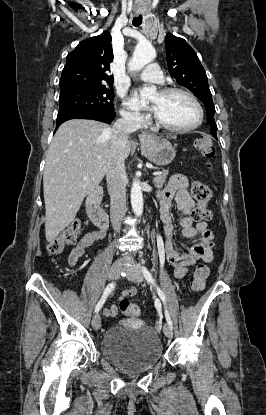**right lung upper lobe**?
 Segmentation results:
<instances>
[{
    "instance_id": "cb5924a9",
    "label": "right lung upper lobe",
    "mask_w": 266,
    "mask_h": 415,
    "mask_svg": "<svg viewBox=\"0 0 266 415\" xmlns=\"http://www.w3.org/2000/svg\"><path fill=\"white\" fill-rule=\"evenodd\" d=\"M113 58L111 35H101L81 41L67 55L60 79V92L92 86H112L114 77L108 75Z\"/></svg>"
}]
</instances>
